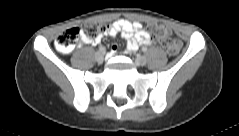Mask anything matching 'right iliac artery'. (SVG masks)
I'll return each mask as SVG.
<instances>
[{
    "mask_svg": "<svg viewBox=\"0 0 239 136\" xmlns=\"http://www.w3.org/2000/svg\"><path fill=\"white\" fill-rule=\"evenodd\" d=\"M99 51H101V52H105L106 49H105V47H100V48H99Z\"/></svg>",
    "mask_w": 239,
    "mask_h": 136,
    "instance_id": "obj_1",
    "label": "right iliac artery"
}]
</instances>
